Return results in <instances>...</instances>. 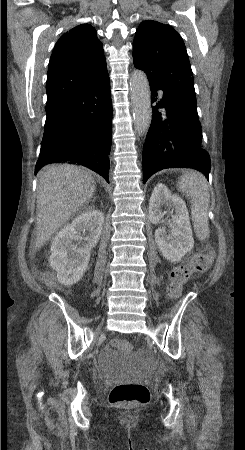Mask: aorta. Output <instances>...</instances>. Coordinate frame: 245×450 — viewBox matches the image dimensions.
Returning <instances> with one entry per match:
<instances>
[{"label":"aorta","instance_id":"aorta-1","mask_svg":"<svg viewBox=\"0 0 245 450\" xmlns=\"http://www.w3.org/2000/svg\"><path fill=\"white\" fill-rule=\"evenodd\" d=\"M130 92L135 130L139 135H144L150 126L152 110L149 83L143 71H133Z\"/></svg>","mask_w":245,"mask_h":450}]
</instances>
